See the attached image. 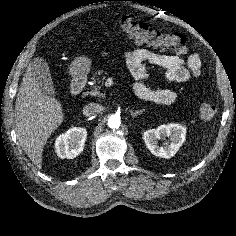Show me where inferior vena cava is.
Returning <instances> with one entry per match:
<instances>
[{
  "mask_svg": "<svg viewBox=\"0 0 236 236\" xmlns=\"http://www.w3.org/2000/svg\"><path fill=\"white\" fill-rule=\"evenodd\" d=\"M103 110L102 106L97 103H89L83 108V115L93 116L100 113Z\"/></svg>",
  "mask_w": 236,
  "mask_h": 236,
  "instance_id": "1",
  "label": "inferior vena cava"
}]
</instances>
